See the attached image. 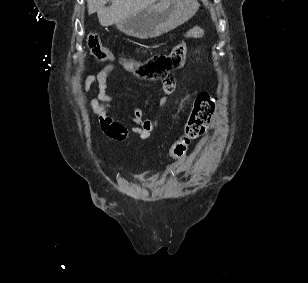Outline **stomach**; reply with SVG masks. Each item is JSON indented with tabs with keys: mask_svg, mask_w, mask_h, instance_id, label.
<instances>
[{
	"mask_svg": "<svg viewBox=\"0 0 308 283\" xmlns=\"http://www.w3.org/2000/svg\"><path fill=\"white\" fill-rule=\"evenodd\" d=\"M198 8L197 0H160L121 19L115 25L131 37L155 38L184 24Z\"/></svg>",
	"mask_w": 308,
	"mask_h": 283,
	"instance_id": "1",
	"label": "stomach"
}]
</instances>
